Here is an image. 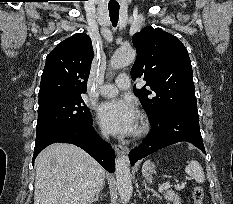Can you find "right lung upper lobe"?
<instances>
[{"instance_id":"cb5924a9","label":"right lung upper lobe","mask_w":233,"mask_h":204,"mask_svg":"<svg viewBox=\"0 0 233 204\" xmlns=\"http://www.w3.org/2000/svg\"><path fill=\"white\" fill-rule=\"evenodd\" d=\"M93 56L91 39L85 33L59 43L46 57L38 101L85 93Z\"/></svg>"}]
</instances>
